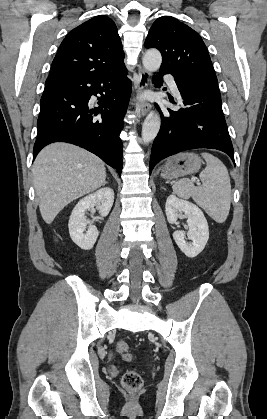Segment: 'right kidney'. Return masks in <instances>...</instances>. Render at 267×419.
Instances as JSON below:
<instances>
[{
  "label": "right kidney",
  "instance_id": "ca27d5eb",
  "mask_svg": "<svg viewBox=\"0 0 267 419\" xmlns=\"http://www.w3.org/2000/svg\"><path fill=\"white\" fill-rule=\"evenodd\" d=\"M113 202L114 191L111 188H102L82 198L76 204L71 213L68 228L71 239L81 249H92L99 235L95 225L87 227L85 211L97 206L99 215L105 217L109 214Z\"/></svg>",
  "mask_w": 267,
  "mask_h": 419
}]
</instances>
